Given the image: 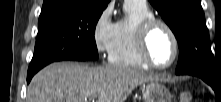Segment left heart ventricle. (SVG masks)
<instances>
[{"mask_svg": "<svg viewBox=\"0 0 221 102\" xmlns=\"http://www.w3.org/2000/svg\"><path fill=\"white\" fill-rule=\"evenodd\" d=\"M149 54L160 65L170 62L174 54V44L169 33L163 27L153 30L149 38Z\"/></svg>", "mask_w": 221, "mask_h": 102, "instance_id": "1", "label": "left heart ventricle"}]
</instances>
